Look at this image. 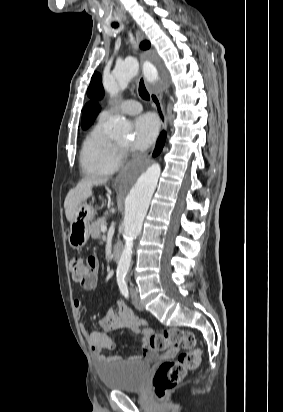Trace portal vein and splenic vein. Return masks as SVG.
<instances>
[{
    "label": "portal vein and splenic vein",
    "mask_w": 283,
    "mask_h": 412,
    "mask_svg": "<svg viewBox=\"0 0 283 412\" xmlns=\"http://www.w3.org/2000/svg\"><path fill=\"white\" fill-rule=\"evenodd\" d=\"M107 231L106 225L101 226V232L105 233Z\"/></svg>",
    "instance_id": "portal-vein-and-splenic-vein-1"
}]
</instances>
